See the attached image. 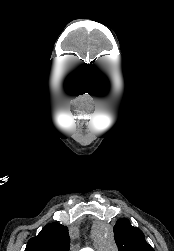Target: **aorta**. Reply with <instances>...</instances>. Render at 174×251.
<instances>
[{
    "label": "aorta",
    "instance_id": "obj_1",
    "mask_svg": "<svg viewBox=\"0 0 174 251\" xmlns=\"http://www.w3.org/2000/svg\"><path fill=\"white\" fill-rule=\"evenodd\" d=\"M112 243H113L112 235L108 230H106V244L108 250L112 249ZM81 251H93V250L90 248H84Z\"/></svg>",
    "mask_w": 174,
    "mask_h": 251
}]
</instances>
